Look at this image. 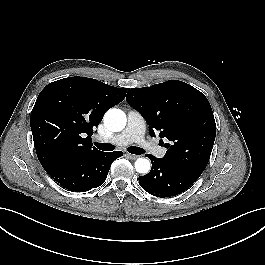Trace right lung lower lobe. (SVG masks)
<instances>
[{"mask_svg":"<svg viewBox=\"0 0 265 265\" xmlns=\"http://www.w3.org/2000/svg\"><path fill=\"white\" fill-rule=\"evenodd\" d=\"M123 152H99L55 164L45 171L62 187L75 192H85L104 183L111 163Z\"/></svg>","mask_w":265,"mask_h":265,"instance_id":"98d812e1","label":"right lung lower lobe"}]
</instances>
